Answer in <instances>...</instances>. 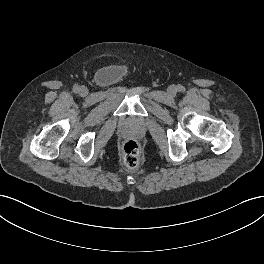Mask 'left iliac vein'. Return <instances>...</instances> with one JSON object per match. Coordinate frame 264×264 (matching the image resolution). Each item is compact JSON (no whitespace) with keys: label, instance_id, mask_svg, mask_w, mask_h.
Returning <instances> with one entry per match:
<instances>
[{"label":"left iliac vein","instance_id":"left-iliac-vein-1","mask_svg":"<svg viewBox=\"0 0 264 264\" xmlns=\"http://www.w3.org/2000/svg\"><path fill=\"white\" fill-rule=\"evenodd\" d=\"M168 94L171 95V96H174L176 94V87L171 85L168 87Z\"/></svg>","mask_w":264,"mask_h":264}]
</instances>
